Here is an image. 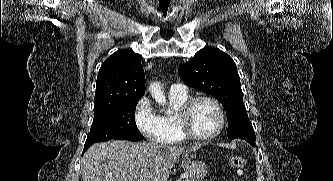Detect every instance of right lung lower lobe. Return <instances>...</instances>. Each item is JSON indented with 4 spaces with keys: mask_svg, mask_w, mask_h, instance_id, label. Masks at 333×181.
Listing matches in <instances>:
<instances>
[{
    "mask_svg": "<svg viewBox=\"0 0 333 181\" xmlns=\"http://www.w3.org/2000/svg\"><path fill=\"white\" fill-rule=\"evenodd\" d=\"M89 147L84 146L83 153L88 149Z\"/></svg>",
    "mask_w": 333,
    "mask_h": 181,
    "instance_id": "1",
    "label": "right lung lower lobe"
}]
</instances>
